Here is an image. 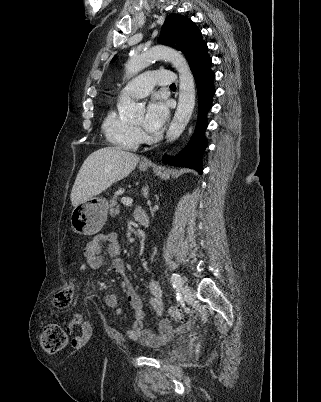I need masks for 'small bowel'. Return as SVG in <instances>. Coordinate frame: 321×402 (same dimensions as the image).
<instances>
[{"label":"small bowel","mask_w":321,"mask_h":402,"mask_svg":"<svg viewBox=\"0 0 321 402\" xmlns=\"http://www.w3.org/2000/svg\"><path fill=\"white\" fill-rule=\"evenodd\" d=\"M104 245L108 246V252L112 257L113 271L126 278V296L133 311L134 318L131 328L127 331L129 339L152 347L159 346L169 340L172 336V328L168 320L164 319L159 322L158 333H153L144 326L145 314L142 309V300L132 284L127 280L125 264L120 257L121 246L117 233L110 232L99 234L88 241L84 250L87 266L92 270H98L104 266V258L101 256V251ZM148 290L150 293V298L148 300L149 307L155 314L162 315L164 313V304L159 283L155 279H150L148 282ZM105 303L109 308L115 311L116 315H122L123 310L117 294H106ZM76 328H79L78 332H75ZM67 329L69 332L74 334L72 345L75 348L81 347L91 332L89 324L84 321L81 314L73 315Z\"/></svg>","instance_id":"c3829d8e"}]
</instances>
